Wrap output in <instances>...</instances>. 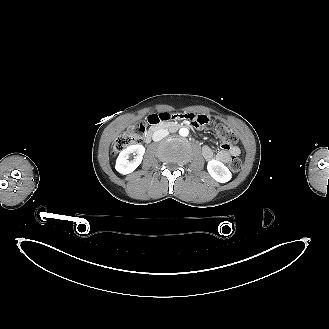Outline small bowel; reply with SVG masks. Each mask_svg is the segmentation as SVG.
Returning a JSON list of instances; mask_svg holds the SVG:
<instances>
[{"instance_id":"small-bowel-1","label":"small bowel","mask_w":329,"mask_h":329,"mask_svg":"<svg viewBox=\"0 0 329 329\" xmlns=\"http://www.w3.org/2000/svg\"><path fill=\"white\" fill-rule=\"evenodd\" d=\"M163 117L165 119H172L173 122L175 123H179V122H183L185 124H189V125H193L194 127L201 129L203 128L205 125V130H211L212 126L210 125L209 119L206 115L204 114H191V113H179V112H175V113H171V112H165L163 114ZM213 126H216V123H213ZM203 156L206 159H212V158H216L218 161L220 162H228L230 160L231 157H237L240 155V149L237 146H232V147H225L223 146V148L217 152L216 154H214L213 150L206 146L203 148L202 150Z\"/></svg>"}]
</instances>
